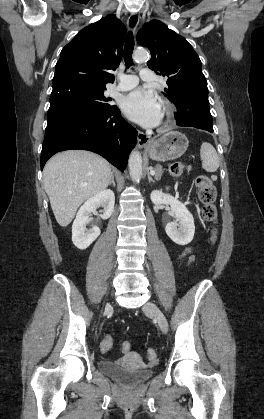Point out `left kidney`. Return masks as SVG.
Instances as JSON below:
<instances>
[{
    "label": "left kidney",
    "mask_w": 264,
    "mask_h": 419,
    "mask_svg": "<svg viewBox=\"0 0 264 419\" xmlns=\"http://www.w3.org/2000/svg\"><path fill=\"white\" fill-rule=\"evenodd\" d=\"M150 198L156 205H170L175 213L176 221L169 222L165 228L169 238L178 245L190 243L195 233V225L193 215L188 211L186 206L172 195L163 193L161 190H154Z\"/></svg>",
    "instance_id": "left-kidney-1"
}]
</instances>
